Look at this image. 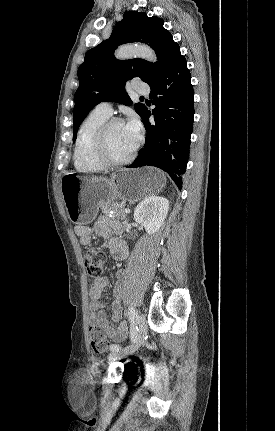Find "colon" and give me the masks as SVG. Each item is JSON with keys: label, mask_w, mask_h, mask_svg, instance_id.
<instances>
[{"label": "colon", "mask_w": 275, "mask_h": 431, "mask_svg": "<svg viewBox=\"0 0 275 431\" xmlns=\"http://www.w3.org/2000/svg\"><path fill=\"white\" fill-rule=\"evenodd\" d=\"M106 263V255L102 250H89L84 255V264L88 275L97 280L101 278ZM92 350L101 354L108 348V340L104 331L98 326H91L89 330Z\"/></svg>", "instance_id": "5ec220e1"}]
</instances>
